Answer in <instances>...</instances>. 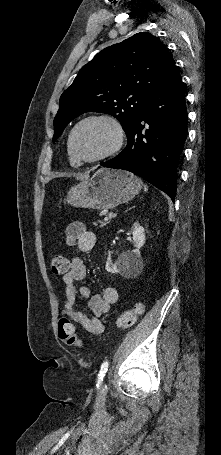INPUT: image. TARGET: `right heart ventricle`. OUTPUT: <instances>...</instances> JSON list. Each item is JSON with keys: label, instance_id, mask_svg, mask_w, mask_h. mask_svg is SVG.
Segmentation results:
<instances>
[{"label": "right heart ventricle", "instance_id": "right-heart-ventricle-1", "mask_svg": "<svg viewBox=\"0 0 221 455\" xmlns=\"http://www.w3.org/2000/svg\"><path fill=\"white\" fill-rule=\"evenodd\" d=\"M68 151H69V149H68ZM69 154H70V152H69ZM70 160H71V163H72V164H74V165H76V164H77V162H76V161H75V160L72 158V156H71V155H70Z\"/></svg>", "mask_w": 221, "mask_h": 455}]
</instances>
